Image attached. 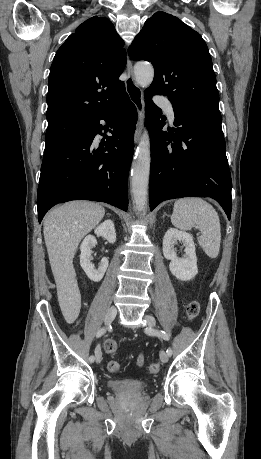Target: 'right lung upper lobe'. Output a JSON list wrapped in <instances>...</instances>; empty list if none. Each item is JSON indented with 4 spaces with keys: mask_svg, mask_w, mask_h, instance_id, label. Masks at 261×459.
Returning <instances> with one entry per match:
<instances>
[{
    "mask_svg": "<svg viewBox=\"0 0 261 459\" xmlns=\"http://www.w3.org/2000/svg\"><path fill=\"white\" fill-rule=\"evenodd\" d=\"M124 42L103 17L82 23L58 49L50 69L48 126L89 122L125 93L118 78L126 65Z\"/></svg>",
    "mask_w": 261,
    "mask_h": 459,
    "instance_id": "right-lung-upper-lobe-1",
    "label": "right lung upper lobe"
}]
</instances>
